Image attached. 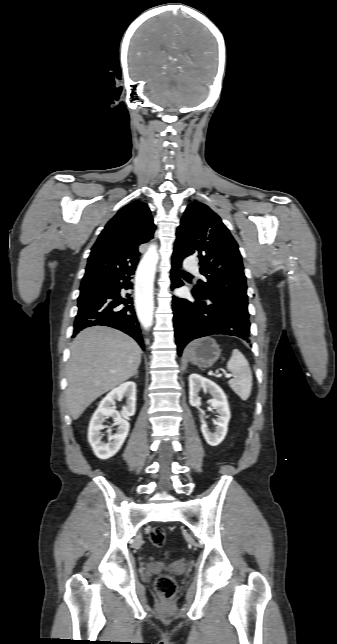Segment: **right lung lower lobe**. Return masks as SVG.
I'll return each instance as SVG.
<instances>
[{
    "instance_id": "right-lung-lower-lobe-1",
    "label": "right lung lower lobe",
    "mask_w": 337,
    "mask_h": 644,
    "mask_svg": "<svg viewBox=\"0 0 337 644\" xmlns=\"http://www.w3.org/2000/svg\"><path fill=\"white\" fill-rule=\"evenodd\" d=\"M136 266H129L106 280V286L91 296L78 301V314L74 322L73 337L82 329L95 325L119 329L131 337L144 349L139 322L133 306V298H125L120 290L132 289V275Z\"/></svg>"
}]
</instances>
